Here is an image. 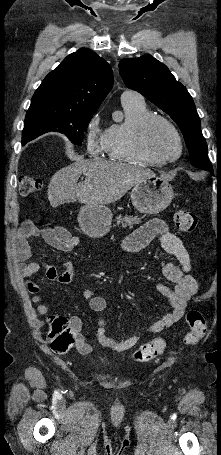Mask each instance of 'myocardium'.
I'll return each instance as SVG.
<instances>
[{
    "instance_id": "myocardium-1",
    "label": "myocardium",
    "mask_w": 221,
    "mask_h": 455,
    "mask_svg": "<svg viewBox=\"0 0 221 455\" xmlns=\"http://www.w3.org/2000/svg\"><path fill=\"white\" fill-rule=\"evenodd\" d=\"M156 122H162L167 125L175 135L179 147L178 153L175 157H161L151 148L149 144V133L150 129ZM135 143L137 148L142 153L150 157L158 164L172 163L177 161L181 157L184 148L182 136L175 124L167 117L158 114H150L138 124L135 131Z\"/></svg>"
}]
</instances>
